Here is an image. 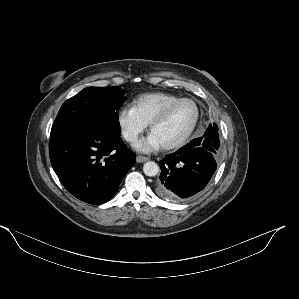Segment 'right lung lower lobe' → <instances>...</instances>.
Wrapping results in <instances>:
<instances>
[{
	"instance_id": "1",
	"label": "right lung lower lobe",
	"mask_w": 299,
	"mask_h": 299,
	"mask_svg": "<svg viewBox=\"0 0 299 299\" xmlns=\"http://www.w3.org/2000/svg\"><path fill=\"white\" fill-rule=\"evenodd\" d=\"M49 154L63 186L90 204L110 200L135 163L120 135L100 129L73 128L53 135Z\"/></svg>"
}]
</instances>
